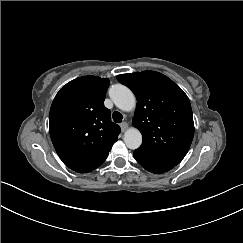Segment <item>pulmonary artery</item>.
Returning a JSON list of instances; mask_svg holds the SVG:
<instances>
[{
	"label": "pulmonary artery",
	"instance_id": "1",
	"mask_svg": "<svg viewBox=\"0 0 243 243\" xmlns=\"http://www.w3.org/2000/svg\"><path fill=\"white\" fill-rule=\"evenodd\" d=\"M116 103H117V105H118L119 107H121V108H126V107H127V106H126L123 102H121V101H117Z\"/></svg>",
	"mask_w": 243,
	"mask_h": 243
}]
</instances>
